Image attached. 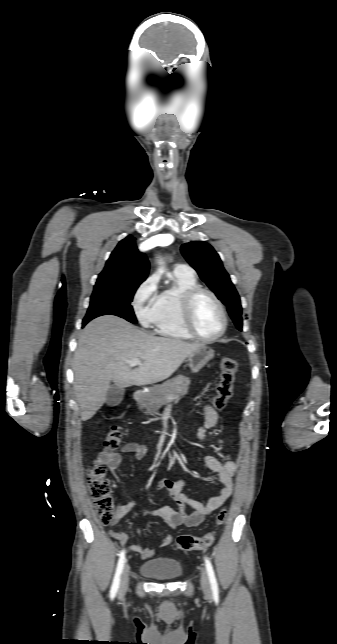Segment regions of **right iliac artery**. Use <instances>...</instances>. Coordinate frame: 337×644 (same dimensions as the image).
<instances>
[{"mask_svg":"<svg viewBox=\"0 0 337 644\" xmlns=\"http://www.w3.org/2000/svg\"><path fill=\"white\" fill-rule=\"evenodd\" d=\"M124 563H125V551L123 550L120 553V557H119V560H118V564H117L116 572H115V575H114L112 587H111V590H110V597L111 598H114L116 596L117 591H118L119 584H120V576H121V573L123 571Z\"/></svg>","mask_w":337,"mask_h":644,"instance_id":"1","label":"right iliac artery"}]
</instances>
